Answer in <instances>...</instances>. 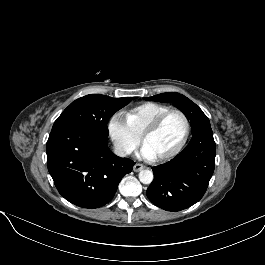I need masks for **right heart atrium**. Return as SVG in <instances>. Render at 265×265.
Here are the masks:
<instances>
[{"instance_id": "d8ad5b80", "label": "right heart atrium", "mask_w": 265, "mask_h": 265, "mask_svg": "<svg viewBox=\"0 0 265 265\" xmlns=\"http://www.w3.org/2000/svg\"><path fill=\"white\" fill-rule=\"evenodd\" d=\"M108 132L116 150L123 155L131 153L140 141V136L135 134L119 114H114L108 121Z\"/></svg>"}]
</instances>
